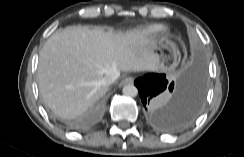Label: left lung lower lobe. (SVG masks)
Listing matches in <instances>:
<instances>
[{
  "label": "left lung lower lobe",
  "instance_id": "obj_1",
  "mask_svg": "<svg viewBox=\"0 0 244 157\" xmlns=\"http://www.w3.org/2000/svg\"><path fill=\"white\" fill-rule=\"evenodd\" d=\"M148 121L161 131L172 132L192 123L199 115L205 97L204 67L195 64L177 79L148 73L135 80Z\"/></svg>",
  "mask_w": 244,
  "mask_h": 157
}]
</instances>
